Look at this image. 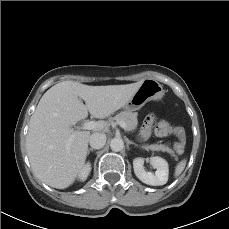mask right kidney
Masks as SVG:
<instances>
[{
	"label": "right kidney",
	"mask_w": 229,
	"mask_h": 229,
	"mask_svg": "<svg viewBox=\"0 0 229 229\" xmlns=\"http://www.w3.org/2000/svg\"><path fill=\"white\" fill-rule=\"evenodd\" d=\"M91 171V164L88 162L87 164L84 165L82 168L81 172L79 173V179L81 181H85Z\"/></svg>",
	"instance_id": "1"
}]
</instances>
